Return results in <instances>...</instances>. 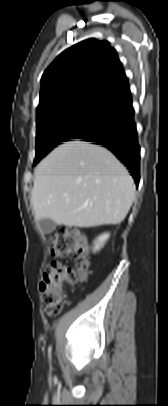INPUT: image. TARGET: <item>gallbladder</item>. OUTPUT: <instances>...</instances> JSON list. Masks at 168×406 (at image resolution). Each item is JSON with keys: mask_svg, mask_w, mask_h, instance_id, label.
Returning <instances> with one entry per match:
<instances>
[{"mask_svg": "<svg viewBox=\"0 0 168 406\" xmlns=\"http://www.w3.org/2000/svg\"><path fill=\"white\" fill-rule=\"evenodd\" d=\"M39 226L41 230L46 234L53 232L56 228L55 222L50 219H41L39 221Z\"/></svg>", "mask_w": 168, "mask_h": 406, "instance_id": "gallbladder-1", "label": "gallbladder"}]
</instances>
